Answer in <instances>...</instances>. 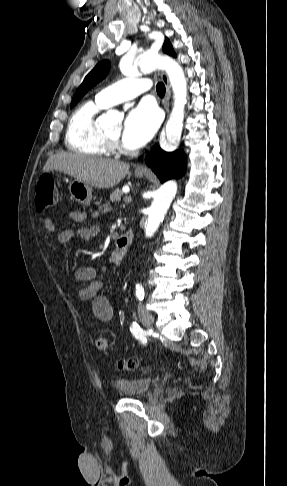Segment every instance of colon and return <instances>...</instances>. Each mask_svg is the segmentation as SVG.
<instances>
[{"label": "colon", "instance_id": "colon-1", "mask_svg": "<svg viewBox=\"0 0 287 486\" xmlns=\"http://www.w3.org/2000/svg\"><path fill=\"white\" fill-rule=\"evenodd\" d=\"M58 198V189L50 175L41 176L35 185V207L39 212H45L55 205ZM95 346L98 350L105 351L108 348V340L103 333L95 336ZM120 370H133L137 368L138 361L134 358L120 360L117 363Z\"/></svg>", "mask_w": 287, "mask_h": 486}]
</instances>
